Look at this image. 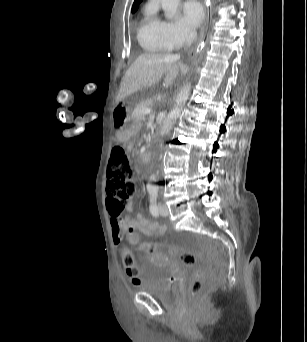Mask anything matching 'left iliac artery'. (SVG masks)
Segmentation results:
<instances>
[{
	"label": "left iliac artery",
	"mask_w": 307,
	"mask_h": 342,
	"mask_svg": "<svg viewBox=\"0 0 307 342\" xmlns=\"http://www.w3.org/2000/svg\"><path fill=\"white\" fill-rule=\"evenodd\" d=\"M158 191L159 188L157 186H151L148 188V192L150 194V212L155 217L159 215L157 207Z\"/></svg>",
	"instance_id": "obj_1"
}]
</instances>
